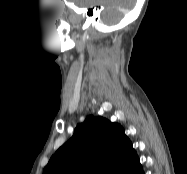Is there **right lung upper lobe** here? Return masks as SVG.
<instances>
[{
  "instance_id": "right-lung-upper-lobe-1",
  "label": "right lung upper lobe",
  "mask_w": 187,
  "mask_h": 174,
  "mask_svg": "<svg viewBox=\"0 0 187 174\" xmlns=\"http://www.w3.org/2000/svg\"><path fill=\"white\" fill-rule=\"evenodd\" d=\"M141 168L121 125L88 116L50 158L43 174H135Z\"/></svg>"
}]
</instances>
